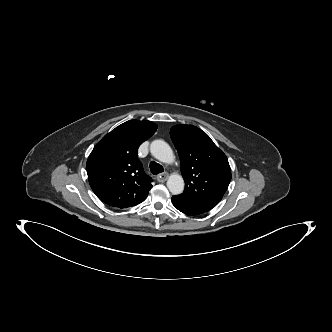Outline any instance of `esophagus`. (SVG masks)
<instances>
[{"instance_id": "1", "label": "esophagus", "mask_w": 332, "mask_h": 332, "mask_svg": "<svg viewBox=\"0 0 332 332\" xmlns=\"http://www.w3.org/2000/svg\"><path fill=\"white\" fill-rule=\"evenodd\" d=\"M168 178V173L167 172H164V173H161L158 177H157V181L158 182H165Z\"/></svg>"}]
</instances>
